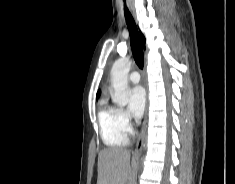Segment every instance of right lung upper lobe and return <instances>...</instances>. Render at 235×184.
<instances>
[{
	"mask_svg": "<svg viewBox=\"0 0 235 184\" xmlns=\"http://www.w3.org/2000/svg\"><path fill=\"white\" fill-rule=\"evenodd\" d=\"M141 40H142V44H143V47L145 48V37L141 34ZM100 96V91H98L97 93V98Z\"/></svg>",
	"mask_w": 235,
	"mask_h": 184,
	"instance_id": "right-lung-upper-lobe-1",
	"label": "right lung upper lobe"
}]
</instances>
